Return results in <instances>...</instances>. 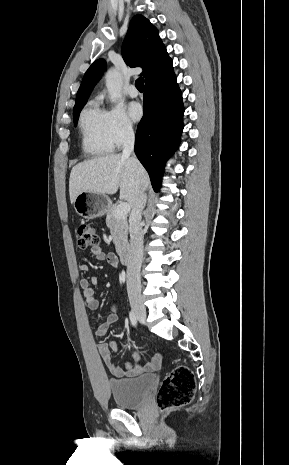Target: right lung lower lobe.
Returning <instances> with one entry per match:
<instances>
[{
	"mask_svg": "<svg viewBox=\"0 0 289 465\" xmlns=\"http://www.w3.org/2000/svg\"><path fill=\"white\" fill-rule=\"evenodd\" d=\"M143 107L135 153L158 191L164 164L178 147L183 130L182 93L175 75L146 84Z\"/></svg>",
	"mask_w": 289,
	"mask_h": 465,
	"instance_id": "1",
	"label": "right lung lower lobe"
}]
</instances>
